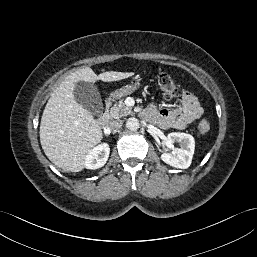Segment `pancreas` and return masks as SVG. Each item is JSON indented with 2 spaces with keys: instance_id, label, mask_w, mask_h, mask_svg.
I'll list each match as a JSON object with an SVG mask.
<instances>
[{
  "instance_id": "pancreas-1",
  "label": "pancreas",
  "mask_w": 257,
  "mask_h": 257,
  "mask_svg": "<svg viewBox=\"0 0 257 257\" xmlns=\"http://www.w3.org/2000/svg\"><path fill=\"white\" fill-rule=\"evenodd\" d=\"M131 114H133L132 110L129 107H125L123 100H120L109 111V117L111 119H119Z\"/></svg>"
}]
</instances>
